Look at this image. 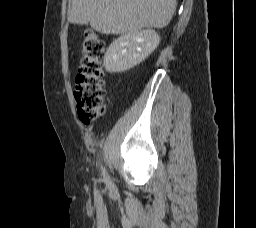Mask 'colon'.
<instances>
[{
  "label": "colon",
  "instance_id": "colon-1",
  "mask_svg": "<svg viewBox=\"0 0 256 228\" xmlns=\"http://www.w3.org/2000/svg\"><path fill=\"white\" fill-rule=\"evenodd\" d=\"M105 44L91 29L84 33L82 58L75 78L74 97L80 120L89 123L105 110L102 57Z\"/></svg>",
  "mask_w": 256,
  "mask_h": 228
}]
</instances>
